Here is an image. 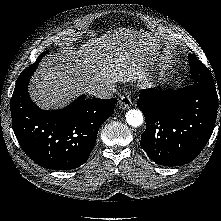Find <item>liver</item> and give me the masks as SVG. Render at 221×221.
<instances>
[{
	"instance_id": "6515ba94",
	"label": "liver",
	"mask_w": 221,
	"mask_h": 221,
	"mask_svg": "<svg viewBox=\"0 0 221 221\" xmlns=\"http://www.w3.org/2000/svg\"><path fill=\"white\" fill-rule=\"evenodd\" d=\"M149 33L125 28L91 38L64 55L42 62L30 83V96L42 109L61 108L80 93L116 83L146 80L148 68L165 57Z\"/></svg>"
}]
</instances>
